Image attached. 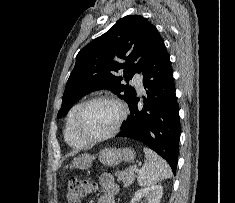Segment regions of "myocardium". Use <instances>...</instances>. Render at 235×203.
<instances>
[{"mask_svg": "<svg viewBox=\"0 0 235 203\" xmlns=\"http://www.w3.org/2000/svg\"><path fill=\"white\" fill-rule=\"evenodd\" d=\"M98 101H108V102H112V103L116 104L120 110L119 118H118L115 126L113 127V129L111 131H109L108 133L101 135V136H98V137H88L80 131L79 121H80L81 115L84 112V110L90 104L98 102ZM127 116H128V108H127V105L122 100H120L116 97H113V96H109V95H98V96L92 97V98L81 103V105L79 106V108L77 109V111L74 115L73 130H74V133L77 135V137L79 139H81L83 142H85L87 144L98 143V142L107 140V139L115 136L120 131L125 120L127 119Z\"/></svg>", "mask_w": 235, "mask_h": 203, "instance_id": "obj_1", "label": "myocardium"}]
</instances>
